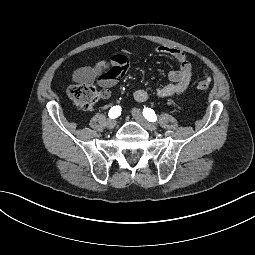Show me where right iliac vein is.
Returning a JSON list of instances; mask_svg holds the SVG:
<instances>
[{
  "label": "right iliac vein",
  "mask_w": 255,
  "mask_h": 255,
  "mask_svg": "<svg viewBox=\"0 0 255 255\" xmlns=\"http://www.w3.org/2000/svg\"><path fill=\"white\" fill-rule=\"evenodd\" d=\"M115 126H116V120H114V119H109V120L107 121V127H108L109 129H113Z\"/></svg>",
  "instance_id": "right-iliac-vein-1"
}]
</instances>
